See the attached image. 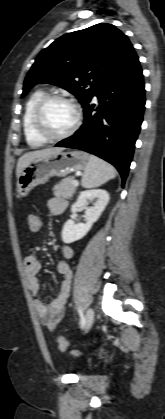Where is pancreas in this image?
Returning <instances> with one entry per match:
<instances>
[{
    "instance_id": "cf45deb5",
    "label": "pancreas",
    "mask_w": 165,
    "mask_h": 419,
    "mask_svg": "<svg viewBox=\"0 0 165 419\" xmlns=\"http://www.w3.org/2000/svg\"><path fill=\"white\" fill-rule=\"evenodd\" d=\"M73 180L74 178L72 177L62 179L58 184L54 186V195L65 199L71 198L76 191V186L72 184Z\"/></svg>"
}]
</instances>
